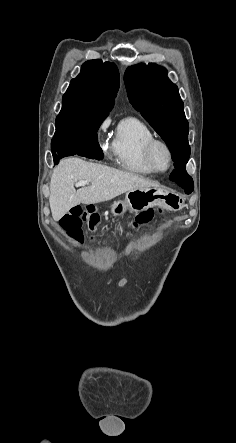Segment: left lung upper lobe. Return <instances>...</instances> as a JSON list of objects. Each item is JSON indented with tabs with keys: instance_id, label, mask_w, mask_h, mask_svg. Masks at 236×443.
<instances>
[{
	"instance_id": "obj_1",
	"label": "left lung upper lobe",
	"mask_w": 236,
	"mask_h": 443,
	"mask_svg": "<svg viewBox=\"0 0 236 443\" xmlns=\"http://www.w3.org/2000/svg\"><path fill=\"white\" fill-rule=\"evenodd\" d=\"M129 100L168 145L175 168L185 167L189 156V124L178 88L157 64L130 66L124 74Z\"/></svg>"
}]
</instances>
